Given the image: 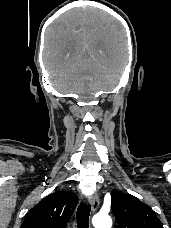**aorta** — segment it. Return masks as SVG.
Masks as SVG:
<instances>
[{
	"instance_id": "1",
	"label": "aorta",
	"mask_w": 171,
	"mask_h": 228,
	"mask_svg": "<svg viewBox=\"0 0 171 228\" xmlns=\"http://www.w3.org/2000/svg\"><path fill=\"white\" fill-rule=\"evenodd\" d=\"M93 225L95 228H111L112 220L107 214H97L94 216Z\"/></svg>"
}]
</instances>
